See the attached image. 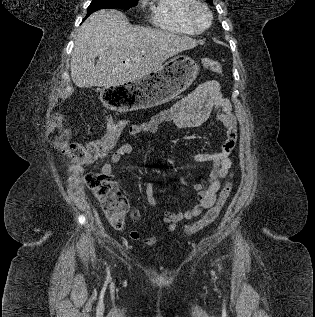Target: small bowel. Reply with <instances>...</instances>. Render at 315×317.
I'll return each mask as SVG.
<instances>
[{"label":"small bowel","instance_id":"obj_1","mask_svg":"<svg viewBox=\"0 0 315 317\" xmlns=\"http://www.w3.org/2000/svg\"><path fill=\"white\" fill-rule=\"evenodd\" d=\"M212 113H215L217 119L224 125L226 140L218 151L197 153L193 156L195 162L212 163L213 170L207 185L201 183L193 185V189L197 192L198 203L192 209L184 212H164L163 221L167 224L168 233L176 229L178 222L200 215L203 210L212 207L215 203L216 194L221 186V180L227 175L232 165L230 154L237 141L236 118L232 112L230 103L222 97L218 82L207 81L199 85L192 93L179 100L172 107L160 111L147 121L129 126V133L132 136L143 133H155L161 124L168 122L174 123L180 129H190L201 126L210 118ZM133 152L134 147L131 144L120 145L112 153L110 162L102 166V170L107 174H112L113 165L118 164L122 158ZM180 183L183 185L187 184L183 179H180ZM145 193L148 204L152 208L157 209L159 204L154 196L153 181H149L146 184ZM130 216L134 222L139 221V210L132 208ZM130 238L146 246H153L163 239V236L144 238L139 231L134 230L131 231Z\"/></svg>","mask_w":315,"mask_h":317}]
</instances>
